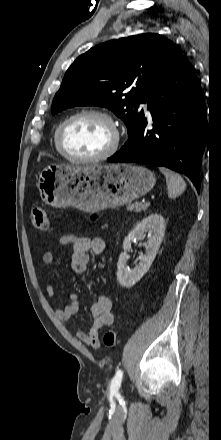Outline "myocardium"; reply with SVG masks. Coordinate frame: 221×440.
Here are the masks:
<instances>
[{
	"mask_svg": "<svg viewBox=\"0 0 221 440\" xmlns=\"http://www.w3.org/2000/svg\"><path fill=\"white\" fill-rule=\"evenodd\" d=\"M83 116H96L104 119L111 127L113 132V139L110 144V146L101 154L92 156V157H75L70 155L64 148L63 145V134L66 126L73 120L83 117ZM56 147L59 153L68 161L73 163H93V162H99L108 159L112 155L116 153L119 147L120 143V132L118 129V126L116 125L114 119L110 114H108L105 111L99 110V109H83L78 112H75L74 114L67 117L65 120H63L56 130Z\"/></svg>",
	"mask_w": 221,
	"mask_h": 440,
	"instance_id": "1",
	"label": "myocardium"
}]
</instances>
